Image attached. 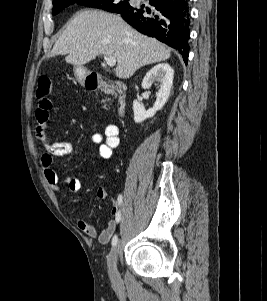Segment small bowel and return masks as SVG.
<instances>
[{
  "mask_svg": "<svg viewBox=\"0 0 267 301\" xmlns=\"http://www.w3.org/2000/svg\"><path fill=\"white\" fill-rule=\"evenodd\" d=\"M52 109V101L48 98H40L38 107L35 112L37 138L42 142L44 153L41 156V166L44 176L50 188L58 192L62 184H66L70 192L77 193L82 186L80 173H71L64 179H61L53 168L54 159L64 157L72 152V145L69 142H51L47 136V125L49 122L50 110ZM119 129L115 124H108L103 133H94L90 138L91 145H98V157L108 159L111 157L113 150L119 145ZM96 196L100 200L110 197L109 192L105 188H99ZM119 213L118 206L113 202L111 210L112 218L107 226L99 231L95 226L89 224L83 219L77 221L78 228L88 237L97 238L100 243L106 244L111 240L117 228V216Z\"/></svg>",
  "mask_w": 267,
  "mask_h": 301,
  "instance_id": "c3829d8e",
  "label": "small bowel"
}]
</instances>
